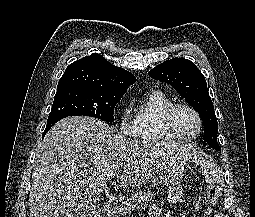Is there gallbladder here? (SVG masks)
Returning <instances> with one entry per match:
<instances>
[{
	"label": "gallbladder",
	"instance_id": "bac80fb5",
	"mask_svg": "<svg viewBox=\"0 0 255 217\" xmlns=\"http://www.w3.org/2000/svg\"><path fill=\"white\" fill-rule=\"evenodd\" d=\"M97 201L94 198L86 197L84 198L83 207L80 211L81 215L88 214L90 215L91 211L93 210L94 205L97 206Z\"/></svg>",
	"mask_w": 255,
	"mask_h": 217
}]
</instances>
